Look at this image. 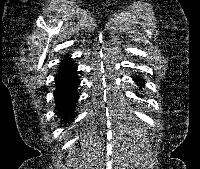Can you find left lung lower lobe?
<instances>
[{
    "label": "left lung lower lobe",
    "mask_w": 200,
    "mask_h": 169,
    "mask_svg": "<svg viewBox=\"0 0 200 169\" xmlns=\"http://www.w3.org/2000/svg\"><path fill=\"white\" fill-rule=\"evenodd\" d=\"M134 81L138 82V85H141L142 87L144 86V84H142V79L140 77H135Z\"/></svg>",
    "instance_id": "0a47b994"
}]
</instances>
